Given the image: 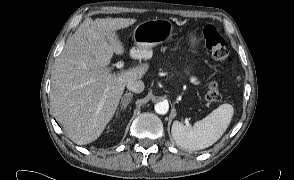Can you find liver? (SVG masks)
Masks as SVG:
<instances>
[{
  "label": "liver",
  "mask_w": 294,
  "mask_h": 180,
  "mask_svg": "<svg viewBox=\"0 0 294 180\" xmlns=\"http://www.w3.org/2000/svg\"><path fill=\"white\" fill-rule=\"evenodd\" d=\"M133 18H86L56 58L50 101L66 134L78 145L95 141L113 118L127 83L140 79L147 66L112 73L113 54L124 52L116 31Z\"/></svg>",
  "instance_id": "1"
}]
</instances>
